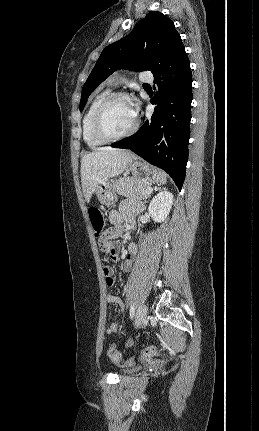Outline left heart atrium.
Segmentation results:
<instances>
[{"instance_id": "left-heart-atrium-1", "label": "left heart atrium", "mask_w": 259, "mask_h": 431, "mask_svg": "<svg viewBox=\"0 0 259 431\" xmlns=\"http://www.w3.org/2000/svg\"><path fill=\"white\" fill-rule=\"evenodd\" d=\"M130 105H131V107H132V109L134 111V114L137 115L138 108H137V105H136L135 101L131 100L130 101Z\"/></svg>"}]
</instances>
